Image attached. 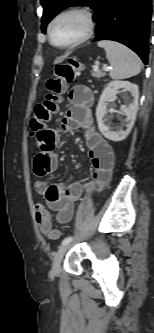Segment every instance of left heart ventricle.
<instances>
[{
  "instance_id": "b2bd125f",
  "label": "left heart ventricle",
  "mask_w": 154,
  "mask_h": 333,
  "mask_svg": "<svg viewBox=\"0 0 154 333\" xmlns=\"http://www.w3.org/2000/svg\"><path fill=\"white\" fill-rule=\"evenodd\" d=\"M84 30V21L78 15L60 18L53 27V38L57 44H68L77 39Z\"/></svg>"
}]
</instances>
